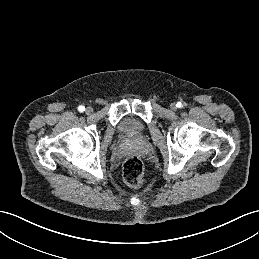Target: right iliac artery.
I'll list each match as a JSON object with an SVG mask.
<instances>
[{
    "instance_id": "right-iliac-artery-1",
    "label": "right iliac artery",
    "mask_w": 259,
    "mask_h": 259,
    "mask_svg": "<svg viewBox=\"0 0 259 259\" xmlns=\"http://www.w3.org/2000/svg\"><path fill=\"white\" fill-rule=\"evenodd\" d=\"M78 110H79L80 112H83V111H85V107H84L83 105H80V106L78 107Z\"/></svg>"
}]
</instances>
